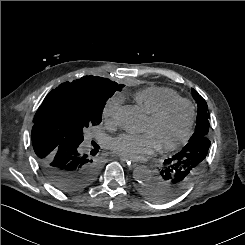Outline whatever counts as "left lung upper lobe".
Masks as SVG:
<instances>
[{
	"label": "left lung upper lobe",
	"mask_w": 245,
	"mask_h": 245,
	"mask_svg": "<svg viewBox=\"0 0 245 245\" xmlns=\"http://www.w3.org/2000/svg\"><path fill=\"white\" fill-rule=\"evenodd\" d=\"M191 90H192L193 97L197 102L198 114H197L195 132L193 133L189 141L201 137H207L208 128L210 126L209 112H208V106L206 104V101L198 94L196 90L194 89Z\"/></svg>",
	"instance_id": "1"
}]
</instances>
